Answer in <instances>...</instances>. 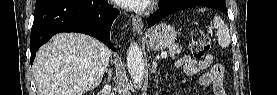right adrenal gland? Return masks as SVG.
<instances>
[{
    "mask_svg": "<svg viewBox=\"0 0 277 95\" xmlns=\"http://www.w3.org/2000/svg\"><path fill=\"white\" fill-rule=\"evenodd\" d=\"M107 74H108V77H107V80H104V83L106 82H109L111 80V77H112V72H111V69H107L106 70Z\"/></svg>",
    "mask_w": 277,
    "mask_h": 95,
    "instance_id": "1",
    "label": "right adrenal gland"
}]
</instances>
